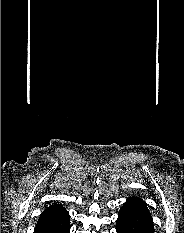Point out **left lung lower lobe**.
I'll return each mask as SVG.
<instances>
[{
    "label": "left lung lower lobe",
    "mask_w": 184,
    "mask_h": 233,
    "mask_svg": "<svg viewBox=\"0 0 184 233\" xmlns=\"http://www.w3.org/2000/svg\"><path fill=\"white\" fill-rule=\"evenodd\" d=\"M117 233H154L147 204L138 197H130L121 207L116 221Z\"/></svg>",
    "instance_id": "obj_1"
}]
</instances>
